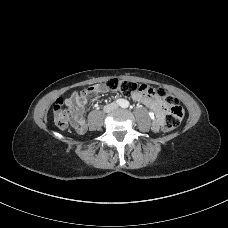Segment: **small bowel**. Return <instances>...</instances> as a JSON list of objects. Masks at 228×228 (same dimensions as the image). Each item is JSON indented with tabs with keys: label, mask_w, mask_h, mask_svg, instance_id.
Returning a JSON list of instances; mask_svg holds the SVG:
<instances>
[{
	"label": "small bowel",
	"mask_w": 228,
	"mask_h": 228,
	"mask_svg": "<svg viewBox=\"0 0 228 228\" xmlns=\"http://www.w3.org/2000/svg\"><path fill=\"white\" fill-rule=\"evenodd\" d=\"M105 90L106 89L101 87V85H91L81 91L73 92L69 98L65 99V104L70 107L76 115L74 127L78 132L82 133L85 130V121L81 116V111L87 104L89 95L92 93L104 92ZM131 97L133 100L143 103L153 110L155 114L153 127L155 130H159L162 126L166 112L161 100L156 96L142 92H132Z\"/></svg>",
	"instance_id": "1"
}]
</instances>
